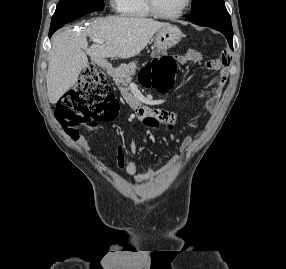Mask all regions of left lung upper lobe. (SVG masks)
I'll use <instances>...</instances> for the list:
<instances>
[{
    "mask_svg": "<svg viewBox=\"0 0 286 269\" xmlns=\"http://www.w3.org/2000/svg\"><path fill=\"white\" fill-rule=\"evenodd\" d=\"M191 16L186 20L208 27H222L232 30L230 15L224 0H192Z\"/></svg>",
    "mask_w": 286,
    "mask_h": 269,
    "instance_id": "obj_1",
    "label": "left lung upper lobe"
}]
</instances>
